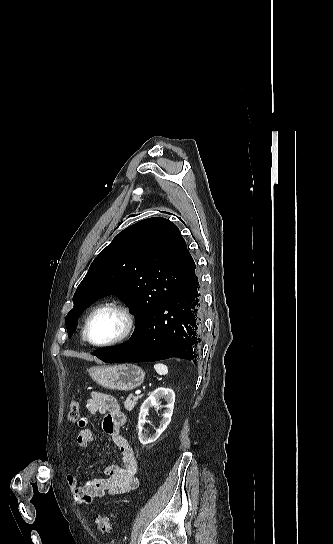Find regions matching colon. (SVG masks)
<instances>
[{"label": "colon", "mask_w": 333, "mask_h": 544, "mask_svg": "<svg viewBox=\"0 0 333 544\" xmlns=\"http://www.w3.org/2000/svg\"><path fill=\"white\" fill-rule=\"evenodd\" d=\"M68 421L71 423L78 422L80 419V403L77 400H74L69 407ZM111 515L110 514H99L95 517L94 522L97 529L102 534H108L111 531Z\"/></svg>", "instance_id": "1"}]
</instances>
